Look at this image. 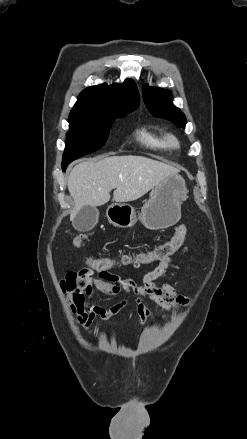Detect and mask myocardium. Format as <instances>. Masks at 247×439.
I'll use <instances>...</instances> for the list:
<instances>
[{"instance_id": "1", "label": "myocardium", "mask_w": 247, "mask_h": 439, "mask_svg": "<svg viewBox=\"0 0 247 439\" xmlns=\"http://www.w3.org/2000/svg\"><path fill=\"white\" fill-rule=\"evenodd\" d=\"M166 139H167V144H168L169 148L177 149L180 147V142L176 136L169 134L166 136Z\"/></svg>"}]
</instances>
